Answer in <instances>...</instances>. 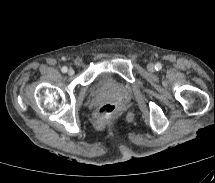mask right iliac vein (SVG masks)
I'll use <instances>...</instances> for the list:
<instances>
[{"instance_id": "obj_1", "label": "right iliac vein", "mask_w": 215, "mask_h": 183, "mask_svg": "<svg viewBox=\"0 0 215 183\" xmlns=\"http://www.w3.org/2000/svg\"><path fill=\"white\" fill-rule=\"evenodd\" d=\"M75 74V71L73 69L68 70V75L73 76Z\"/></svg>"}]
</instances>
